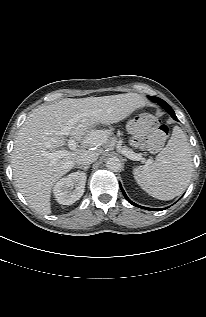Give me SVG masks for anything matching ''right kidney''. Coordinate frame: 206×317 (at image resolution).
Here are the masks:
<instances>
[{
  "instance_id": "right-kidney-1",
  "label": "right kidney",
  "mask_w": 206,
  "mask_h": 317,
  "mask_svg": "<svg viewBox=\"0 0 206 317\" xmlns=\"http://www.w3.org/2000/svg\"><path fill=\"white\" fill-rule=\"evenodd\" d=\"M87 176L84 172H74L60 179L53 188L54 196L59 204L71 205L84 193Z\"/></svg>"
}]
</instances>
